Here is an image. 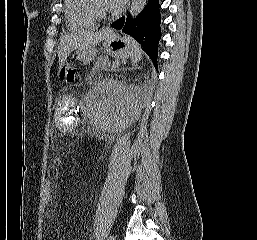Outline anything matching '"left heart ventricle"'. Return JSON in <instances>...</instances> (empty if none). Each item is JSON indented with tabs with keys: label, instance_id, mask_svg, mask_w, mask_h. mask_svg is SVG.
Listing matches in <instances>:
<instances>
[{
	"label": "left heart ventricle",
	"instance_id": "1",
	"mask_svg": "<svg viewBox=\"0 0 257 240\" xmlns=\"http://www.w3.org/2000/svg\"><path fill=\"white\" fill-rule=\"evenodd\" d=\"M98 6L103 10H109L107 0H97Z\"/></svg>",
	"mask_w": 257,
	"mask_h": 240
}]
</instances>
